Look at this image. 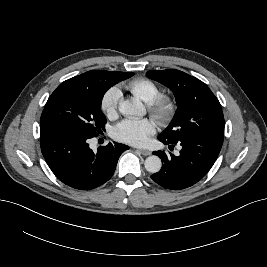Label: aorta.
<instances>
[{
    "mask_svg": "<svg viewBox=\"0 0 267 267\" xmlns=\"http://www.w3.org/2000/svg\"><path fill=\"white\" fill-rule=\"evenodd\" d=\"M119 111L127 117L143 116L146 109L141 101L137 99L124 100L119 103ZM145 169L150 173H157L160 171L162 162L156 155H151L145 160Z\"/></svg>",
    "mask_w": 267,
    "mask_h": 267,
    "instance_id": "1",
    "label": "aorta"
}]
</instances>
